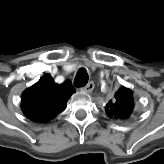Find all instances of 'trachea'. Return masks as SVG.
<instances>
[{
	"label": "trachea",
	"mask_w": 164,
	"mask_h": 164,
	"mask_svg": "<svg viewBox=\"0 0 164 164\" xmlns=\"http://www.w3.org/2000/svg\"><path fill=\"white\" fill-rule=\"evenodd\" d=\"M88 79L89 77H88L86 69L81 68L75 76L74 86L83 87L88 83Z\"/></svg>",
	"instance_id": "3493384b"
}]
</instances>
